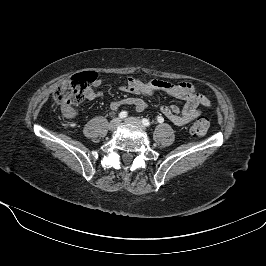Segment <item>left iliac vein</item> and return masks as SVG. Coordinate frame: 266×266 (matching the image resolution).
Segmentation results:
<instances>
[{
	"instance_id": "obj_1",
	"label": "left iliac vein",
	"mask_w": 266,
	"mask_h": 266,
	"mask_svg": "<svg viewBox=\"0 0 266 266\" xmlns=\"http://www.w3.org/2000/svg\"><path fill=\"white\" fill-rule=\"evenodd\" d=\"M125 122H126V123H129V124L136 125V126H138L140 129L145 130L144 125H143L142 122H141L139 119H137V118H134V117H128V118L125 119Z\"/></svg>"
}]
</instances>
